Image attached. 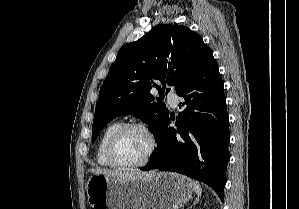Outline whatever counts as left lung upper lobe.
<instances>
[{
	"label": "left lung upper lobe",
	"instance_id": "5c2ea615",
	"mask_svg": "<svg viewBox=\"0 0 299 209\" xmlns=\"http://www.w3.org/2000/svg\"><path fill=\"white\" fill-rule=\"evenodd\" d=\"M211 58L212 51L202 38L182 25L159 24L139 40L124 45L100 88L92 142L107 123L125 114L148 124L155 137L168 110L159 98L155 102L151 89L163 94L167 84L177 91Z\"/></svg>",
	"mask_w": 299,
	"mask_h": 209
}]
</instances>
